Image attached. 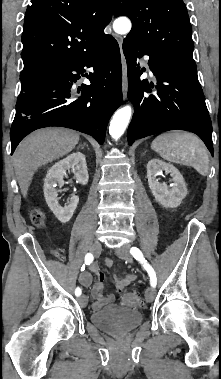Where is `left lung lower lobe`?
Masks as SVG:
<instances>
[{
    "instance_id": "left-lung-lower-lobe-1",
    "label": "left lung lower lobe",
    "mask_w": 221,
    "mask_h": 379,
    "mask_svg": "<svg viewBox=\"0 0 221 379\" xmlns=\"http://www.w3.org/2000/svg\"><path fill=\"white\" fill-rule=\"evenodd\" d=\"M123 52L128 65V98L135 113L129 125L128 143L168 130H186L197 134L213 155L212 125L198 81L197 70L166 61L127 36ZM150 57L148 64L156 76L157 85L140 81L142 74L137 58ZM155 87L158 92L149 94Z\"/></svg>"
}]
</instances>
